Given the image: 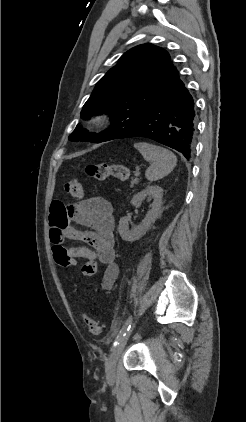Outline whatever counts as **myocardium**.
<instances>
[{
  "mask_svg": "<svg viewBox=\"0 0 246 422\" xmlns=\"http://www.w3.org/2000/svg\"><path fill=\"white\" fill-rule=\"evenodd\" d=\"M107 117L103 114H96L92 116L89 120V123L94 128H101L105 125Z\"/></svg>",
  "mask_w": 246,
  "mask_h": 422,
  "instance_id": "obj_1",
  "label": "myocardium"
}]
</instances>
